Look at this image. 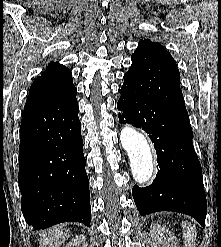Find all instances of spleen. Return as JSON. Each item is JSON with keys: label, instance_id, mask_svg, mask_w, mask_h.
<instances>
[{"label": "spleen", "instance_id": "spleen-1", "mask_svg": "<svg viewBox=\"0 0 221 247\" xmlns=\"http://www.w3.org/2000/svg\"><path fill=\"white\" fill-rule=\"evenodd\" d=\"M182 229L185 247H195L197 235L195 226L190 223L183 222Z\"/></svg>", "mask_w": 221, "mask_h": 247}]
</instances>
